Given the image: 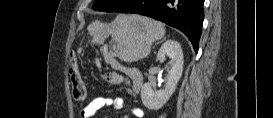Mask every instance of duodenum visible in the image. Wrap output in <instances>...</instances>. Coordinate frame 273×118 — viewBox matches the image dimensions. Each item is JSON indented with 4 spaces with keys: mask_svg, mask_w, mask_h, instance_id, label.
<instances>
[{
    "mask_svg": "<svg viewBox=\"0 0 273 118\" xmlns=\"http://www.w3.org/2000/svg\"><path fill=\"white\" fill-rule=\"evenodd\" d=\"M106 61L113 67L121 69L131 82V89L134 93L140 91L143 86V76L138 68L132 66H122L117 63L112 57L107 56Z\"/></svg>",
    "mask_w": 273,
    "mask_h": 118,
    "instance_id": "410a0bca",
    "label": "duodenum"
}]
</instances>
